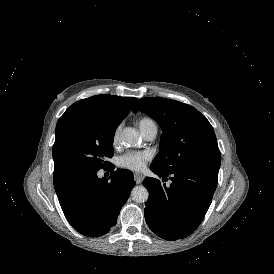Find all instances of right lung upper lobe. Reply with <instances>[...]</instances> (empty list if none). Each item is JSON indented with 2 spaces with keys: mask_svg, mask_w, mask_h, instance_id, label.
Segmentation results:
<instances>
[{
  "mask_svg": "<svg viewBox=\"0 0 274 274\" xmlns=\"http://www.w3.org/2000/svg\"><path fill=\"white\" fill-rule=\"evenodd\" d=\"M136 100V98L119 97L105 94L79 100L72 104L60 117L56 125V130L59 129L61 124L66 119L82 112L114 110L128 115ZM54 174L57 173L54 171Z\"/></svg>",
  "mask_w": 274,
  "mask_h": 274,
  "instance_id": "1",
  "label": "right lung upper lobe"
}]
</instances>
